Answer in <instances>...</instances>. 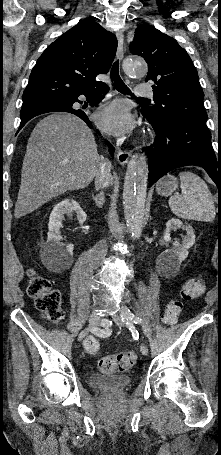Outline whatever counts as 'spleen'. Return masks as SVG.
<instances>
[{
    "label": "spleen",
    "mask_w": 221,
    "mask_h": 455,
    "mask_svg": "<svg viewBox=\"0 0 221 455\" xmlns=\"http://www.w3.org/2000/svg\"><path fill=\"white\" fill-rule=\"evenodd\" d=\"M179 177L182 194L170 197L171 211L185 220L213 221L215 205L205 181L190 171L179 173Z\"/></svg>",
    "instance_id": "obj_1"
}]
</instances>
